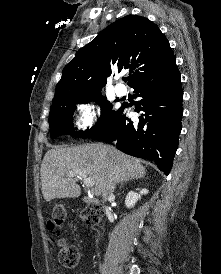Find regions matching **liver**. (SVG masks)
Masks as SVG:
<instances>
[{
	"instance_id": "liver-1",
	"label": "liver",
	"mask_w": 221,
	"mask_h": 274,
	"mask_svg": "<svg viewBox=\"0 0 221 274\" xmlns=\"http://www.w3.org/2000/svg\"><path fill=\"white\" fill-rule=\"evenodd\" d=\"M83 171L95 181V195L99 196L113 183L143 178L145 167L113 146L102 143L86 144L47 151L41 164L42 194L48 202L53 199L76 198L81 195L78 175Z\"/></svg>"
}]
</instances>
